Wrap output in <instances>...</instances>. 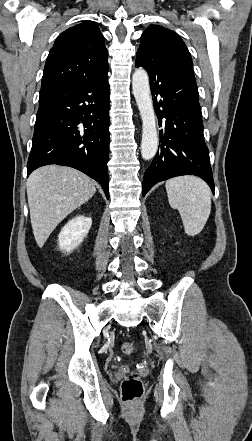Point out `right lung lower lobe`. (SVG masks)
Instances as JSON below:
<instances>
[{
  "label": "right lung lower lobe",
  "mask_w": 252,
  "mask_h": 441,
  "mask_svg": "<svg viewBox=\"0 0 252 441\" xmlns=\"http://www.w3.org/2000/svg\"><path fill=\"white\" fill-rule=\"evenodd\" d=\"M108 78L40 94L27 175L49 164L73 167L102 185L109 199Z\"/></svg>",
  "instance_id": "obj_1"
}]
</instances>
